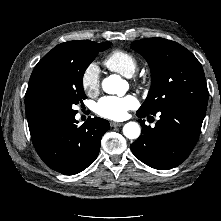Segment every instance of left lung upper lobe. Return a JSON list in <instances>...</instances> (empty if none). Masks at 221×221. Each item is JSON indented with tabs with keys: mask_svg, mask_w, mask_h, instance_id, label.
<instances>
[{
	"mask_svg": "<svg viewBox=\"0 0 221 221\" xmlns=\"http://www.w3.org/2000/svg\"><path fill=\"white\" fill-rule=\"evenodd\" d=\"M131 48L146 59L152 76L150 91L139 111L156 114L183 101L207 105L208 90L204 72L190 51L164 38L137 40Z\"/></svg>",
	"mask_w": 221,
	"mask_h": 221,
	"instance_id": "obj_1",
	"label": "left lung upper lobe"
}]
</instances>
